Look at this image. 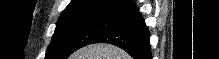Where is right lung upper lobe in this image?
<instances>
[{
	"instance_id": "right-lung-upper-lobe-1",
	"label": "right lung upper lobe",
	"mask_w": 219,
	"mask_h": 59,
	"mask_svg": "<svg viewBox=\"0 0 219 59\" xmlns=\"http://www.w3.org/2000/svg\"><path fill=\"white\" fill-rule=\"evenodd\" d=\"M127 0H72L63 10L60 17L84 11L104 10L111 11Z\"/></svg>"
}]
</instances>
